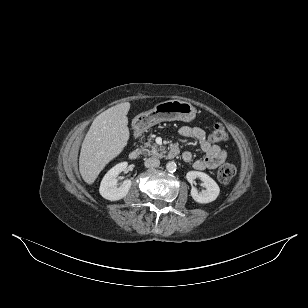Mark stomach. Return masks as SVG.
<instances>
[{"instance_id":"0dacf381","label":"stomach","mask_w":308,"mask_h":308,"mask_svg":"<svg viewBox=\"0 0 308 308\" xmlns=\"http://www.w3.org/2000/svg\"><path fill=\"white\" fill-rule=\"evenodd\" d=\"M195 116L196 109L191 103L177 99L167 100L157 103L149 111L138 114L133 120V125L136 130L144 131L163 121L190 122Z\"/></svg>"}]
</instances>
